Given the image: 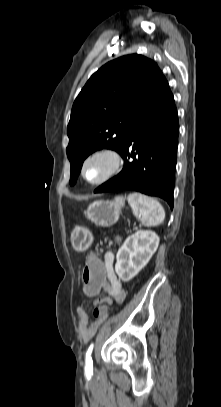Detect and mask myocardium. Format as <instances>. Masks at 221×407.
I'll return each mask as SVG.
<instances>
[{"instance_id":"myocardium-1","label":"myocardium","mask_w":221,"mask_h":407,"mask_svg":"<svg viewBox=\"0 0 221 407\" xmlns=\"http://www.w3.org/2000/svg\"><path fill=\"white\" fill-rule=\"evenodd\" d=\"M97 157H107L111 161V167L103 177L96 181H91L85 176V168L92 159ZM124 164V156L118 149L113 147H104L93 151L84 159L81 165L80 175L86 183L93 186H99L116 177L122 171Z\"/></svg>"}]
</instances>
